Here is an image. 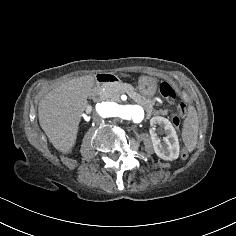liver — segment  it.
Returning a JSON list of instances; mask_svg holds the SVG:
<instances>
[{"instance_id": "6515ba94", "label": "liver", "mask_w": 236, "mask_h": 236, "mask_svg": "<svg viewBox=\"0 0 236 236\" xmlns=\"http://www.w3.org/2000/svg\"><path fill=\"white\" fill-rule=\"evenodd\" d=\"M96 81L95 75L80 76L62 83L39 100L40 128L60 154H69L76 147L82 116L92 110L88 98Z\"/></svg>"}]
</instances>
